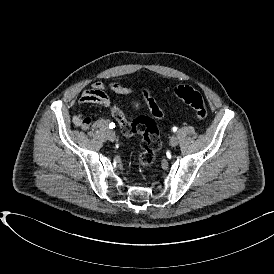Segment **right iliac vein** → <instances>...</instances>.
I'll return each instance as SVG.
<instances>
[{"label":"right iliac vein","mask_w":274,"mask_h":274,"mask_svg":"<svg viewBox=\"0 0 274 274\" xmlns=\"http://www.w3.org/2000/svg\"><path fill=\"white\" fill-rule=\"evenodd\" d=\"M108 139L112 142L116 140V134L114 131L112 130L108 131Z\"/></svg>","instance_id":"63e3f726"}]
</instances>
